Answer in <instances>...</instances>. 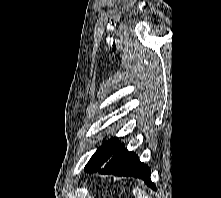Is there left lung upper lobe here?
<instances>
[{
    "label": "left lung upper lobe",
    "instance_id": "1",
    "mask_svg": "<svg viewBox=\"0 0 221 198\" xmlns=\"http://www.w3.org/2000/svg\"><path fill=\"white\" fill-rule=\"evenodd\" d=\"M121 147V141L117 137L109 139L101 147L98 148V150L85 166L84 170L88 173L99 171L111 158V156Z\"/></svg>",
    "mask_w": 221,
    "mask_h": 198
}]
</instances>
